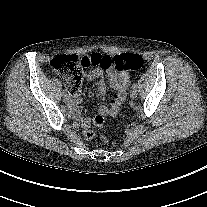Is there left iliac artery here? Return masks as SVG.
<instances>
[{
    "mask_svg": "<svg viewBox=\"0 0 207 207\" xmlns=\"http://www.w3.org/2000/svg\"><path fill=\"white\" fill-rule=\"evenodd\" d=\"M132 88H137V84L134 83V84L132 85Z\"/></svg>",
    "mask_w": 207,
    "mask_h": 207,
    "instance_id": "left-iliac-artery-1",
    "label": "left iliac artery"
}]
</instances>
